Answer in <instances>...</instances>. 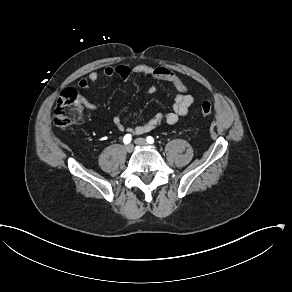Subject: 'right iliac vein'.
Wrapping results in <instances>:
<instances>
[{
	"mask_svg": "<svg viewBox=\"0 0 292 292\" xmlns=\"http://www.w3.org/2000/svg\"><path fill=\"white\" fill-rule=\"evenodd\" d=\"M133 149H134L133 144H128V145H126V147H125V150H126L128 153H131V152L133 151Z\"/></svg>",
	"mask_w": 292,
	"mask_h": 292,
	"instance_id": "63e3f726",
	"label": "right iliac vein"
}]
</instances>
